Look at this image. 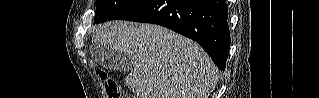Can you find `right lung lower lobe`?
<instances>
[{
    "label": "right lung lower lobe",
    "instance_id": "right-lung-lower-lobe-1",
    "mask_svg": "<svg viewBox=\"0 0 319 98\" xmlns=\"http://www.w3.org/2000/svg\"><path fill=\"white\" fill-rule=\"evenodd\" d=\"M118 20L158 24L198 42L224 71L230 49L225 0H146Z\"/></svg>",
    "mask_w": 319,
    "mask_h": 98
}]
</instances>
